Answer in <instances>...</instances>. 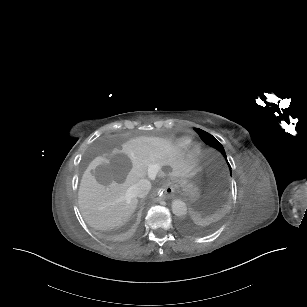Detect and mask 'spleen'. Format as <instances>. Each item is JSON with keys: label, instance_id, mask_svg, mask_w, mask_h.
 Here are the masks:
<instances>
[{"label": "spleen", "instance_id": "3e777b00", "mask_svg": "<svg viewBox=\"0 0 307 307\" xmlns=\"http://www.w3.org/2000/svg\"><path fill=\"white\" fill-rule=\"evenodd\" d=\"M190 213L192 214L193 212L191 211ZM204 213H205V214H206V213L210 214L211 212H210V211H208V212H206V211H205V212H204V211H202L200 214L202 215V214H204ZM193 214L195 215L196 213L194 212Z\"/></svg>", "mask_w": 307, "mask_h": 307}]
</instances>
